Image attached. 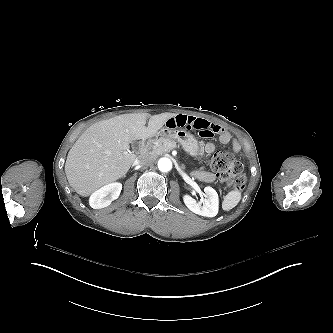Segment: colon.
Here are the masks:
<instances>
[{
  "label": "colon",
  "instance_id": "obj_1",
  "mask_svg": "<svg viewBox=\"0 0 333 333\" xmlns=\"http://www.w3.org/2000/svg\"><path fill=\"white\" fill-rule=\"evenodd\" d=\"M209 167L216 172L218 180L226 182L222 183L226 190L243 188L246 180L243 165L240 161L236 163L231 152L227 150L214 152L210 158Z\"/></svg>",
  "mask_w": 333,
  "mask_h": 333
}]
</instances>
